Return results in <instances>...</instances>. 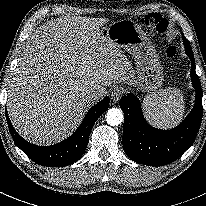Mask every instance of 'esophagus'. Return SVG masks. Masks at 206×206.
I'll list each match as a JSON object with an SVG mask.
<instances>
[{
    "label": "esophagus",
    "mask_w": 206,
    "mask_h": 206,
    "mask_svg": "<svg viewBox=\"0 0 206 206\" xmlns=\"http://www.w3.org/2000/svg\"><path fill=\"white\" fill-rule=\"evenodd\" d=\"M125 90L122 87H115L111 93V100L116 103L120 100Z\"/></svg>",
    "instance_id": "obj_1"
}]
</instances>
